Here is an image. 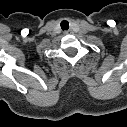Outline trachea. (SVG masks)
I'll return each mask as SVG.
<instances>
[{"instance_id":"obj_1","label":"trachea","mask_w":127,"mask_h":127,"mask_svg":"<svg viewBox=\"0 0 127 127\" xmlns=\"http://www.w3.org/2000/svg\"><path fill=\"white\" fill-rule=\"evenodd\" d=\"M62 30H68L69 29V22L66 20H63L60 24Z\"/></svg>"}]
</instances>
